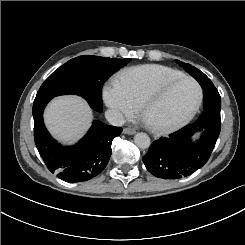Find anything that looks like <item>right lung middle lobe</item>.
<instances>
[{
	"label": "right lung middle lobe",
	"mask_w": 245,
	"mask_h": 245,
	"mask_svg": "<svg viewBox=\"0 0 245 245\" xmlns=\"http://www.w3.org/2000/svg\"><path fill=\"white\" fill-rule=\"evenodd\" d=\"M130 60L89 55L71 59L45 80L35 101L51 99L58 95L76 94L85 98L94 110L101 112L103 83Z\"/></svg>",
	"instance_id": "dd1d6c3e"
}]
</instances>
